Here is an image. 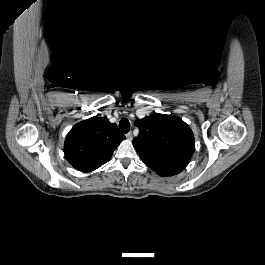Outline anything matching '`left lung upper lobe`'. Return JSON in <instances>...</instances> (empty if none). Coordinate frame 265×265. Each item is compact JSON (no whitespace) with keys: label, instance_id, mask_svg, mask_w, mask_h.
<instances>
[{"label":"left lung upper lobe","instance_id":"left-lung-upper-lobe-1","mask_svg":"<svg viewBox=\"0 0 265 265\" xmlns=\"http://www.w3.org/2000/svg\"><path fill=\"white\" fill-rule=\"evenodd\" d=\"M139 135L132 141L142 161L154 171L178 163H189L195 149L191 128L180 118L152 114L137 119Z\"/></svg>","mask_w":265,"mask_h":265}]
</instances>
